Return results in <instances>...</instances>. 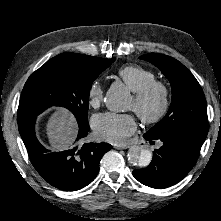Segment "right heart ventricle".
<instances>
[{
  "label": "right heart ventricle",
  "mask_w": 221,
  "mask_h": 221,
  "mask_svg": "<svg viewBox=\"0 0 221 221\" xmlns=\"http://www.w3.org/2000/svg\"><path fill=\"white\" fill-rule=\"evenodd\" d=\"M117 75L133 92L155 79L152 71L138 65H125L117 71Z\"/></svg>",
  "instance_id": "obj_1"
}]
</instances>
